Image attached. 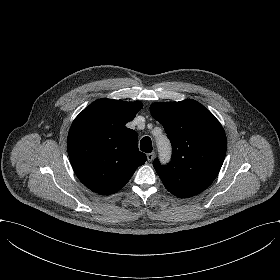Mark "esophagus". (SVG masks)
Instances as JSON below:
<instances>
[{
	"label": "esophagus",
	"mask_w": 280,
	"mask_h": 280,
	"mask_svg": "<svg viewBox=\"0 0 280 280\" xmlns=\"http://www.w3.org/2000/svg\"><path fill=\"white\" fill-rule=\"evenodd\" d=\"M155 157V153L154 152H151V153H148L147 154V159L149 162H151Z\"/></svg>",
	"instance_id": "34e87169"
}]
</instances>
